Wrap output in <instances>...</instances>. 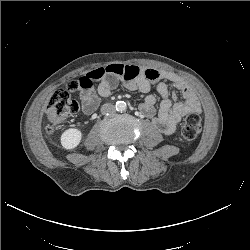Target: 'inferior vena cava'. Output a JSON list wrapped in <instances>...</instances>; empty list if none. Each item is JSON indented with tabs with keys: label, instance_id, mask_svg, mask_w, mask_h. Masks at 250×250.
Listing matches in <instances>:
<instances>
[{
	"label": "inferior vena cava",
	"instance_id": "602c4592",
	"mask_svg": "<svg viewBox=\"0 0 250 250\" xmlns=\"http://www.w3.org/2000/svg\"><path fill=\"white\" fill-rule=\"evenodd\" d=\"M114 110H115V106L111 103H106L101 107L102 114L113 112Z\"/></svg>",
	"mask_w": 250,
	"mask_h": 250
}]
</instances>
